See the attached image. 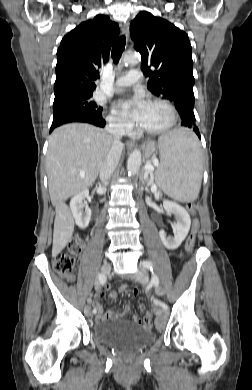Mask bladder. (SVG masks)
Returning a JSON list of instances; mask_svg holds the SVG:
<instances>
[{
	"instance_id": "bladder-1",
	"label": "bladder",
	"mask_w": 252,
	"mask_h": 390,
	"mask_svg": "<svg viewBox=\"0 0 252 390\" xmlns=\"http://www.w3.org/2000/svg\"><path fill=\"white\" fill-rule=\"evenodd\" d=\"M93 338L99 343L120 351L134 354L155 340L152 330L127 321H97L93 326Z\"/></svg>"
}]
</instances>
